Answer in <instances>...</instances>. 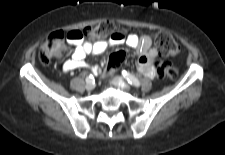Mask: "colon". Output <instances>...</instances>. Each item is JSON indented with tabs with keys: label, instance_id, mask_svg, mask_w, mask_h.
I'll return each mask as SVG.
<instances>
[{
	"label": "colon",
	"instance_id": "obj_1",
	"mask_svg": "<svg viewBox=\"0 0 225 155\" xmlns=\"http://www.w3.org/2000/svg\"><path fill=\"white\" fill-rule=\"evenodd\" d=\"M82 40H102L108 36L125 35V31L116 27L110 21H102L100 23L88 26L83 30ZM68 33V32H67ZM67 33L58 30L52 32L43 42L39 51V60L43 64L50 61L63 53L66 48ZM153 41L156 48L165 56H175L179 53L180 48L175 39L166 32H156L153 35ZM124 61L122 52H115L107 62V68L101 75L104 83L109 82L113 71L118 69V64ZM152 68L158 73V76L165 80H174L178 76V70L173 65L165 63L161 59H156L152 63Z\"/></svg>",
	"mask_w": 225,
	"mask_h": 155
}]
</instances>
